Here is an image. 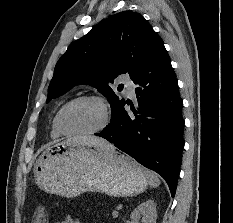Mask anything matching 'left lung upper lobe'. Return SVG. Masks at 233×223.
Masks as SVG:
<instances>
[{
  "instance_id": "1",
  "label": "left lung upper lobe",
  "mask_w": 233,
  "mask_h": 223,
  "mask_svg": "<svg viewBox=\"0 0 233 223\" xmlns=\"http://www.w3.org/2000/svg\"><path fill=\"white\" fill-rule=\"evenodd\" d=\"M160 37L141 14L119 12L80 38L58 60L48 88L47 101L76 84H91L108 98L112 117L125 103L109 86L119 75L136 77Z\"/></svg>"
}]
</instances>
